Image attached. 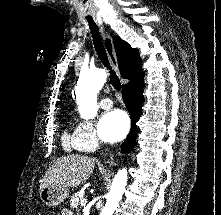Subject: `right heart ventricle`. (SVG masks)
<instances>
[{"label": "right heart ventricle", "instance_id": "right-heart-ventricle-1", "mask_svg": "<svg viewBox=\"0 0 221 215\" xmlns=\"http://www.w3.org/2000/svg\"><path fill=\"white\" fill-rule=\"evenodd\" d=\"M62 142L66 150H80L77 145L74 132L69 133L68 131H65L62 137Z\"/></svg>", "mask_w": 221, "mask_h": 215}]
</instances>
